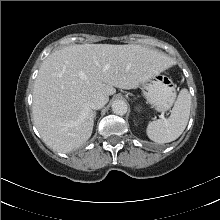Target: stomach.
Instances as JSON below:
<instances>
[{"label": "stomach", "mask_w": 220, "mask_h": 220, "mask_svg": "<svg viewBox=\"0 0 220 220\" xmlns=\"http://www.w3.org/2000/svg\"><path fill=\"white\" fill-rule=\"evenodd\" d=\"M146 99L158 111H166L174 103L176 93L173 81L166 75L157 74L142 84Z\"/></svg>", "instance_id": "obj_1"}]
</instances>
